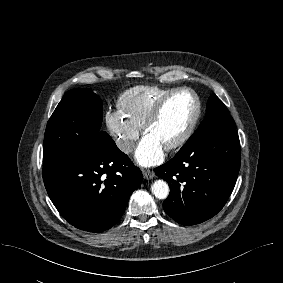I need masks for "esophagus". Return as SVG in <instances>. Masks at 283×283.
Masks as SVG:
<instances>
[{"mask_svg": "<svg viewBox=\"0 0 283 283\" xmlns=\"http://www.w3.org/2000/svg\"><path fill=\"white\" fill-rule=\"evenodd\" d=\"M143 177H144L145 179H148V180H149V179L154 178V177H155V174H154L153 171L145 169V170H143Z\"/></svg>", "mask_w": 283, "mask_h": 283, "instance_id": "34e87169", "label": "esophagus"}]
</instances>
